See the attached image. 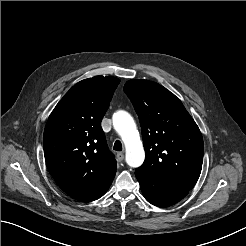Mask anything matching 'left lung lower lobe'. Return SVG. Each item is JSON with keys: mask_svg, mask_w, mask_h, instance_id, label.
<instances>
[{"mask_svg": "<svg viewBox=\"0 0 246 246\" xmlns=\"http://www.w3.org/2000/svg\"><path fill=\"white\" fill-rule=\"evenodd\" d=\"M141 191L148 202L155 206H171L183 199L190 190L170 185L153 178L135 173Z\"/></svg>", "mask_w": 246, "mask_h": 246, "instance_id": "left-lung-lower-lobe-1", "label": "left lung lower lobe"}]
</instances>
